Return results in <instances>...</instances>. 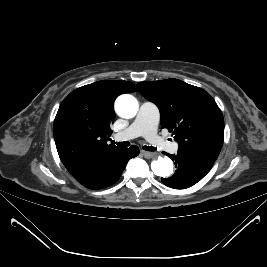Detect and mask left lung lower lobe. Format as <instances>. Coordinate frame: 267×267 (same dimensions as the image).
<instances>
[{
  "mask_svg": "<svg viewBox=\"0 0 267 267\" xmlns=\"http://www.w3.org/2000/svg\"><path fill=\"white\" fill-rule=\"evenodd\" d=\"M164 154L175 162L177 170L171 177L161 180L166 186L174 189H185L197 183L209 172L216 160L180 149L176 155Z\"/></svg>",
  "mask_w": 267,
  "mask_h": 267,
  "instance_id": "0a47b994",
  "label": "left lung lower lobe"
}]
</instances>
